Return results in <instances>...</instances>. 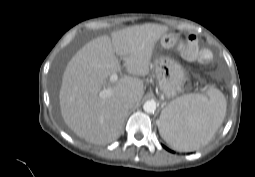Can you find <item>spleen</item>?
Segmentation results:
<instances>
[{
	"label": "spleen",
	"instance_id": "obj_1",
	"mask_svg": "<svg viewBox=\"0 0 255 177\" xmlns=\"http://www.w3.org/2000/svg\"><path fill=\"white\" fill-rule=\"evenodd\" d=\"M160 115L163 139L177 151H192L206 145L221 126L226 114V100L217 89L208 96L188 94L172 101Z\"/></svg>",
	"mask_w": 255,
	"mask_h": 177
}]
</instances>
